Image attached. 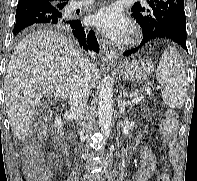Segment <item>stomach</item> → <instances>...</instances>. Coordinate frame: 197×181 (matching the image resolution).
Returning <instances> with one entry per match:
<instances>
[{
    "instance_id": "obj_1",
    "label": "stomach",
    "mask_w": 197,
    "mask_h": 181,
    "mask_svg": "<svg viewBox=\"0 0 197 181\" xmlns=\"http://www.w3.org/2000/svg\"><path fill=\"white\" fill-rule=\"evenodd\" d=\"M154 71V62L150 59L136 58L127 59L117 70V74L124 80L134 83L147 81Z\"/></svg>"
}]
</instances>
